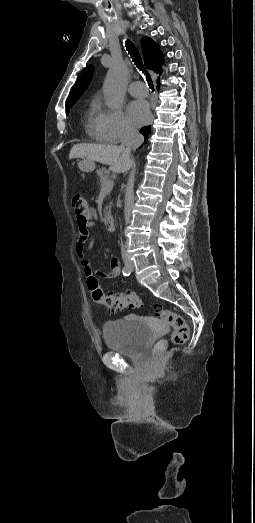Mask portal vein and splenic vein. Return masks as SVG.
<instances>
[{
    "mask_svg": "<svg viewBox=\"0 0 255 523\" xmlns=\"http://www.w3.org/2000/svg\"><path fill=\"white\" fill-rule=\"evenodd\" d=\"M101 191H99V196L106 197L108 193L113 191V182H103L100 186Z\"/></svg>",
    "mask_w": 255,
    "mask_h": 523,
    "instance_id": "portal-vein-and-splenic-vein-1",
    "label": "portal vein and splenic vein"
}]
</instances>
